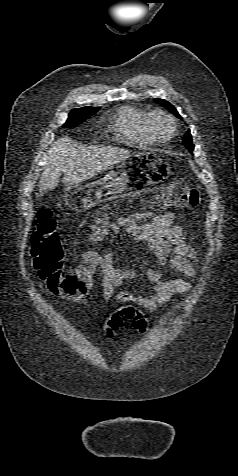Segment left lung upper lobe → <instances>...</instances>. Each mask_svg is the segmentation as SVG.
I'll return each mask as SVG.
<instances>
[{
	"label": "left lung upper lobe",
	"mask_w": 238,
	"mask_h": 476,
	"mask_svg": "<svg viewBox=\"0 0 238 476\" xmlns=\"http://www.w3.org/2000/svg\"><path fill=\"white\" fill-rule=\"evenodd\" d=\"M159 103H161L164 107H166L170 112L174 113L175 115H177L179 118H181V116L178 114L177 110L175 109V107L170 104L168 101L164 100V99H159L157 98L156 99ZM183 145L190 150V152L192 153L193 149H194V144L192 142V138H191V134H190V131L188 130L187 133L185 134L184 138H183Z\"/></svg>",
	"instance_id": "left-lung-upper-lobe-1"
}]
</instances>
